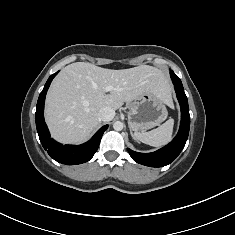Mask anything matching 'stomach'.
Returning <instances> with one entry per match:
<instances>
[{
  "mask_svg": "<svg viewBox=\"0 0 235 235\" xmlns=\"http://www.w3.org/2000/svg\"><path fill=\"white\" fill-rule=\"evenodd\" d=\"M167 116L166 103L154 92H146L129 104L128 124L135 134L158 126Z\"/></svg>",
  "mask_w": 235,
  "mask_h": 235,
  "instance_id": "1",
  "label": "stomach"
}]
</instances>
